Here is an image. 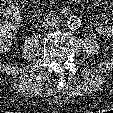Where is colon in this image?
Returning <instances> with one entry per match:
<instances>
[{
  "instance_id": "obj_1",
  "label": "colon",
  "mask_w": 113,
  "mask_h": 113,
  "mask_svg": "<svg viewBox=\"0 0 113 113\" xmlns=\"http://www.w3.org/2000/svg\"><path fill=\"white\" fill-rule=\"evenodd\" d=\"M25 0H0V33L1 29L10 24L7 19L14 21L11 10H18Z\"/></svg>"
}]
</instances>
